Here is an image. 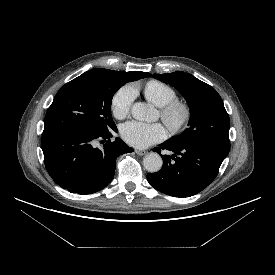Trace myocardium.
Masks as SVG:
<instances>
[{
	"label": "myocardium",
	"mask_w": 275,
	"mask_h": 275,
	"mask_svg": "<svg viewBox=\"0 0 275 275\" xmlns=\"http://www.w3.org/2000/svg\"><path fill=\"white\" fill-rule=\"evenodd\" d=\"M160 115L170 132L178 133L188 123L191 111L187 102L175 98L161 107Z\"/></svg>",
	"instance_id": "myocardium-1"
}]
</instances>
